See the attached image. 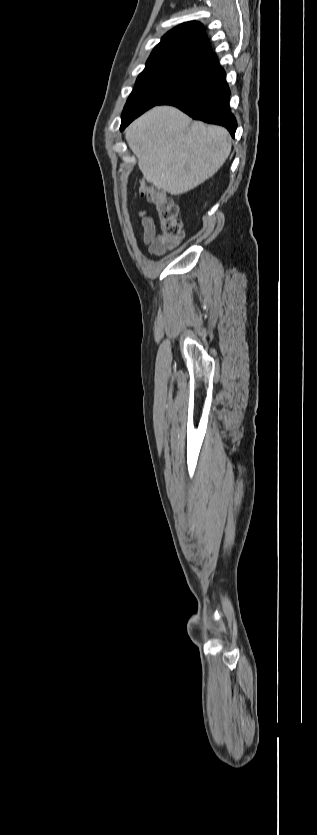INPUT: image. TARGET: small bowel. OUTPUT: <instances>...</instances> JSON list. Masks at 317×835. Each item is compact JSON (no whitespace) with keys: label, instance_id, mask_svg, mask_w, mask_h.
Listing matches in <instances>:
<instances>
[{"label":"small bowel","instance_id":"obj_1","mask_svg":"<svg viewBox=\"0 0 317 835\" xmlns=\"http://www.w3.org/2000/svg\"><path fill=\"white\" fill-rule=\"evenodd\" d=\"M139 214L143 228V241L150 245V250L153 253L163 252L164 250L160 247L161 235L157 233L154 219L144 210H141Z\"/></svg>","mask_w":317,"mask_h":835}]
</instances>
